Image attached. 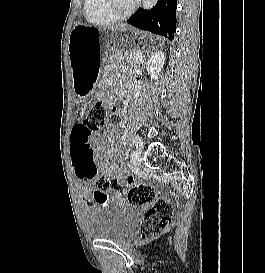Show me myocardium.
I'll list each match as a JSON object with an SVG mask.
<instances>
[{"instance_id": "obj_1", "label": "myocardium", "mask_w": 265, "mask_h": 273, "mask_svg": "<svg viewBox=\"0 0 265 273\" xmlns=\"http://www.w3.org/2000/svg\"><path fill=\"white\" fill-rule=\"evenodd\" d=\"M139 0L133 1L132 4L125 10L119 11L115 5L114 0H103L105 11L115 20L125 19L131 15L138 5Z\"/></svg>"}]
</instances>
